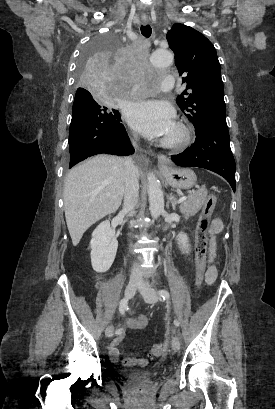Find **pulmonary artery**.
<instances>
[{"instance_id": "obj_1", "label": "pulmonary artery", "mask_w": 275, "mask_h": 409, "mask_svg": "<svg viewBox=\"0 0 275 409\" xmlns=\"http://www.w3.org/2000/svg\"><path fill=\"white\" fill-rule=\"evenodd\" d=\"M174 79L175 78H174L173 75H171V74L167 75L166 78L161 81V86L163 88H174L176 86V81ZM139 90H140V87H138V86H132L131 87V93L132 94L139 93Z\"/></svg>"}]
</instances>
